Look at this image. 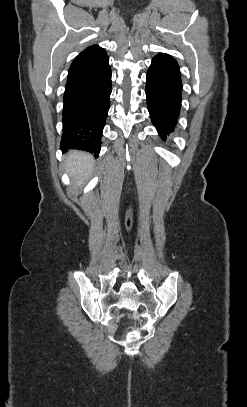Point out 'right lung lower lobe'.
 Here are the masks:
<instances>
[{"label": "right lung lower lobe", "mask_w": 247, "mask_h": 407, "mask_svg": "<svg viewBox=\"0 0 247 407\" xmlns=\"http://www.w3.org/2000/svg\"><path fill=\"white\" fill-rule=\"evenodd\" d=\"M112 90L109 57L68 75L64 92L60 148L79 149L98 157Z\"/></svg>", "instance_id": "1"}]
</instances>
